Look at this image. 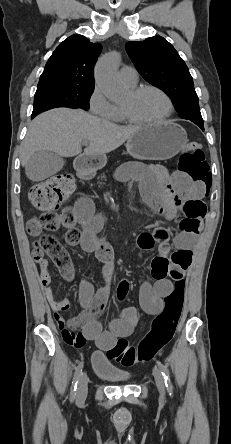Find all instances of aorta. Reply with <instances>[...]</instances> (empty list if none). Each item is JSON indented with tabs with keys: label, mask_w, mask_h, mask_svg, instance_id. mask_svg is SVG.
Segmentation results:
<instances>
[{
	"label": "aorta",
	"mask_w": 231,
	"mask_h": 444,
	"mask_svg": "<svg viewBox=\"0 0 231 444\" xmlns=\"http://www.w3.org/2000/svg\"><path fill=\"white\" fill-rule=\"evenodd\" d=\"M120 59L119 53L111 52L102 57L96 65V83L111 101L118 100L124 93V88L117 77Z\"/></svg>",
	"instance_id": "obj_1"
}]
</instances>
